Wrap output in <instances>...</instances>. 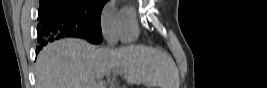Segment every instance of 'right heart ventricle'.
Masks as SVG:
<instances>
[{"label": "right heart ventricle", "mask_w": 267, "mask_h": 88, "mask_svg": "<svg viewBox=\"0 0 267 88\" xmlns=\"http://www.w3.org/2000/svg\"><path fill=\"white\" fill-rule=\"evenodd\" d=\"M121 15V38L124 42H130L137 38L139 29L135 19L134 10L131 7H124Z\"/></svg>", "instance_id": "e07e8e85"}]
</instances>
